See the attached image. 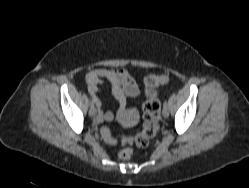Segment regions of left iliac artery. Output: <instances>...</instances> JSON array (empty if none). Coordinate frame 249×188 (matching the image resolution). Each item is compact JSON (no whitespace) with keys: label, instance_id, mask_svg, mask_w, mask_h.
I'll return each mask as SVG.
<instances>
[{"label":"left iliac artery","instance_id":"44dca946","mask_svg":"<svg viewBox=\"0 0 249 188\" xmlns=\"http://www.w3.org/2000/svg\"><path fill=\"white\" fill-rule=\"evenodd\" d=\"M164 106L167 107V102L166 101L164 102Z\"/></svg>","mask_w":249,"mask_h":188}]
</instances>
